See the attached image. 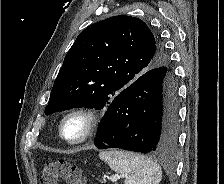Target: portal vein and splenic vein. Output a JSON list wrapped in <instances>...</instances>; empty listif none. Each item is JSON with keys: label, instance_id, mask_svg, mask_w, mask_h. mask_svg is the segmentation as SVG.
<instances>
[{"label": "portal vein and splenic vein", "instance_id": "18ae733b", "mask_svg": "<svg viewBox=\"0 0 224 184\" xmlns=\"http://www.w3.org/2000/svg\"><path fill=\"white\" fill-rule=\"evenodd\" d=\"M120 178H121V176H119V175H113V176H111L110 179H111L112 182H116Z\"/></svg>", "mask_w": 224, "mask_h": 184}]
</instances>
